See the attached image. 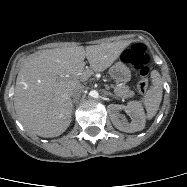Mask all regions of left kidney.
Returning <instances> with one entry per match:
<instances>
[{
    "instance_id": "left-kidney-1",
    "label": "left kidney",
    "mask_w": 187,
    "mask_h": 187,
    "mask_svg": "<svg viewBox=\"0 0 187 187\" xmlns=\"http://www.w3.org/2000/svg\"><path fill=\"white\" fill-rule=\"evenodd\" d=\"M121 110H124L130 116V123L120 115ZM108 112L113 125L120 131L133 133L141 131L145 127V114L139 102L131 101L126 106L110 104Z\"/></svg>"
}]
</instances>
